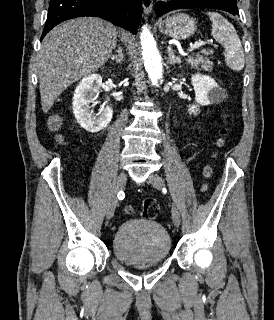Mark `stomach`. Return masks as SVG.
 Wrapping results in <instances>:
<instances>
[{
	"label": "stomach",
	"mask_w": 274,
	"mask_h": 320,
	"mask_svg": "<svg viewBox=\"0 0 274 320\" xmlns=\"http://www.w3.org/2000/svg\"><path fill=\"white\" fill-rule=\"evenodd\" d=\"M158 28L164 36H169L174 40H186L195 34L197 22L187 14H174L158 22Z\"/></svg>",
	"instance_id": "obj_1"
}]
</instances>
